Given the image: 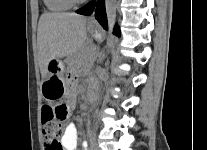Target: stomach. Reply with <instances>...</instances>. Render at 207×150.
<instances>
[{"instance_id":"1","label":"stomach","mask_w":207,"mask_h":150,"mask_svg":"<svg viewBox=\"0 0 207 150\" xmlns=\"http://www.w3.org/2000/svg\"><path fill=\"white\" fill-rule=\"evenodd\" d=\"M88 31L94 38L100 39L101 34L97 28L89 25ZM48 70V76L43 80L41 85L43 96L47 100L64 98L72 93L73 87L62 77L64 71V64L62 61L59 59L51 60Z\"/></svg>"}]
</instances>
